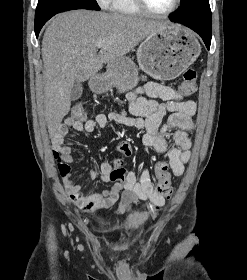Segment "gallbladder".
Instances as JSON below:
<instances>
[{
    "label": "gallbladder",
    "instance_id": "gallbladder-1",
    "mask_svg": "<svg viewBox=\"0 0 247 280\" xmlns=\"http://www.w3.org/2000/svg\"><path fill=\"white\" fill-rule=\"evenodd\" d=\"M83 92V87L81 82H75L71 93H70V99L71 101H76L77 99L80 98Z\"/></svg>",
    "mask_w": 247,
    "mask_h": 280
}]
</instances>
